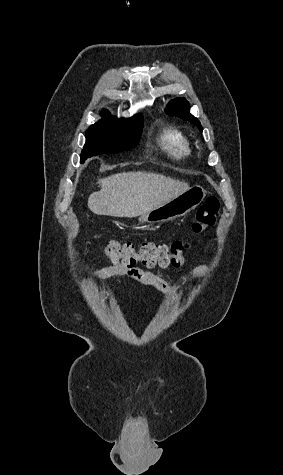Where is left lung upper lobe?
Listing matches in <instances>:
<instances>
[{
    "mask_svg": "<svg viewBox=\"0 0 283 475\" xmlns=\"http://www.w3.org/2000/svg\"><path fill=\"white\" fill-rule=\"evenodd\" d=\"M189 102L185 98H177L172 100L166 109V113L180 117L186 121H190L194 125L198 126L199 130L202 131V126L199 120L190 114Z\"/></svg>",
    "mask_w": 283,
    "mask_h": 475,
    "instance_id": "obj_1",
    "label": "left lung upper lobe"
}]
</instances>
